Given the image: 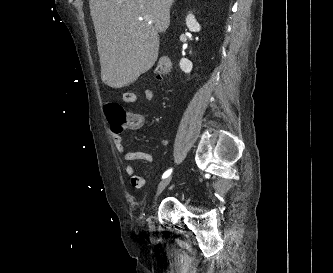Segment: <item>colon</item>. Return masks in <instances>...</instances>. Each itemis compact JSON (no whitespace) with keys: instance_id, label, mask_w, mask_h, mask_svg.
Returning a JSON list of instances; mask_svg holds the SVG:
<instances>
[{"instance_id":"1","label":"colon","mask_w":333,"mask_h":273,"mask_svg":"<svg viewBox=\"0 0 333 273\" xmlns=\"http://www.w3.org/2000/svg\"><path fill=\"white\" fill-rule=\"evenodd\" d=\"M171 72V62L167 57H160L156 67L157 79H166ZM105 113L112 128L120 131L127 124L132 122V118L117 103H108L105 105Z\"/></svg>"}]
</instances>
